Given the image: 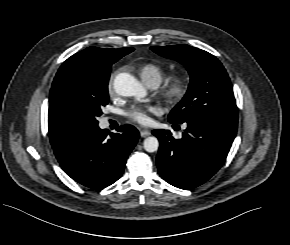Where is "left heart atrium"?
<instances>
[{"mask_svg":"<svg viewBox=\"0 0 290 245\" xmlns=\"http://www.w3.org/2000/svg\"><path fill=\"white\" fill-rule=\"evenodd\" d=\"M159 109L156 106L148 105V106H134L128 112V116L134 121L147 125L151 122V114L158 113Z\"/></svg>","mask_w":290,"mask_h":245,"instance_id":"obj_1","label":"left heart atrium"}]
</instances>
